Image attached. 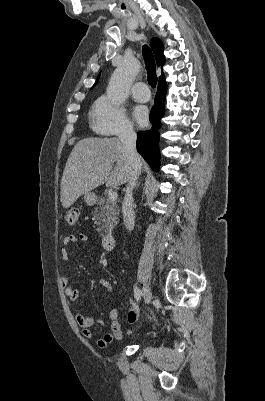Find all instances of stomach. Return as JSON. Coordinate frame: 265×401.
I'll return each instance as SVG.
<instances>
[{"instance_id": "1", "label": "stomach", "mask_w": 265, "mask_h": 401, "mask_svg": "<svg viewBox=\"0 0 265 401\" xmlns=\"http://www.w3.org/2000/svg\"><path fill=\"white\" fill-rule=\"evenodd\" d=\"M85 203L91 207V205H94L96 203V194L95 192H86L83 196Z\"/></svg>"}]
</instances>
